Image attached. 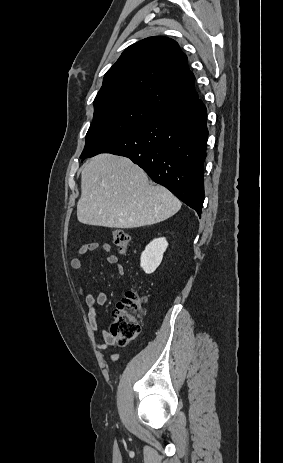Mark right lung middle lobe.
<instances>
[{
	"label": "right lung middle lobe",
	"instance_id": "dd1d6c3e",
	"mask_svg": "<svg viewBox=\"0 0 283 463\" xmlns=\"http://www.w3.org/2000/svg\"><path fill=\"white\" fill-rule=\"evenodd\" d=\"M160 109L144 100L121 92H107L94 100V118L86 135L81 158L139 125Z\"/></svg>",
	"mask_w": 283,
	"mask_h": 463
}]
</instances>
